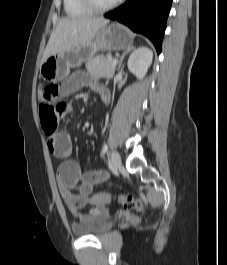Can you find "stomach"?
Listing matches in <instances>:
<instances>
[{"mask_svg":"<svg viewBox=\"0 0 227 265\" xmlns=\"http://www.w3.org/2000/svg\"><path fill=\"white\" fill-rule=\"evenodd\" d=\"M132 44L133 36L123 25L103 26L91 43L48 57L40 66V75L49 82L61 81L69 75L71 68L81 66L98 51L129 49Z\"/></svg>","mask_w":227,"mask_h":265,"instance_id":"0dacf381","label":"stomach"}]
</instances>
